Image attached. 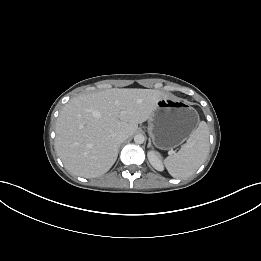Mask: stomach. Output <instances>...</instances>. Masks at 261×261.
<instances>
[{
    "label": "stomach",
    "mask_w": 261,
    "mask_h": 261,
    "mask_svg": "<svg viewBox=\"0 0 261 261\" xmlns=\"http://www.w3.org/2000/svg\"><path fill=\"white\" fill-rule=\"evenodd\" d=\"M198 112L181 100L161 99L149 118L148 132L155 146L160 149L174 148L197 129Z\"/></svg>",
    "instance_id": "stomach-1"
}]
</instances>
